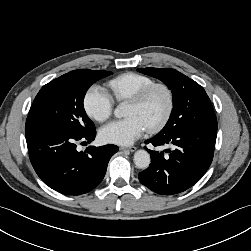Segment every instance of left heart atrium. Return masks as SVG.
<instances>
[{"label":"left heart atrium","mask_w":251,"mask_h":251,"mask_svg":"<svg viewBox=\"0 0 251 251\" xmlns=\"http://www.w3.org/2000/svg\"><path fill=\"white\" fill-rule=\"evenodd\" d=\"M146 130V125L139 117L129 116L103 126L99 131V137L105 143L130 145L140 138Z\"/></svg>","instance_id":"39dd6f15"}]
</instances>
